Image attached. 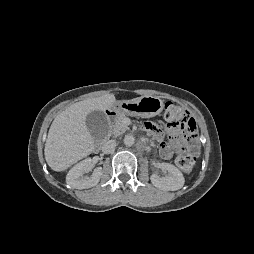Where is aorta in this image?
I'll return each mask as SVG.
<instances>
[{
	"mask_svg": "<svg viewBox=\"0 0 254 254\" xmlns=\"http://www.w3.org/2000/svg\"><path fill=\"white\" fill-rule=\"evenodd\" d=\"M134 137L132 135H126L124 138V144L126 146H132L134 144Z\"/></svg>",
	"mask_w": 254,
	"mask_h": 254,
	"instance_id": "1",
	"label": "aorta"
}]
</instances>
